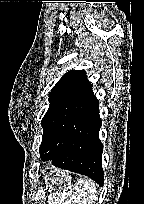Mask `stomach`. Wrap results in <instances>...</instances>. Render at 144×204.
Here are the masks:
<instances>
[{"instance_id": "1", "label": "stomach", "mask_w": 144, "mask_h": 204, "mask_svg": "<svg viewBox=\"0 0 144 204\" xmlns=\"http://www.w3.org/2000/svg\"><path fill=\"white\" fill-rule=\"evenodd\" d=\"M49 190H63L71 185V176L61 171H52L45 180Z\"/></svg>"}]
</instances>
